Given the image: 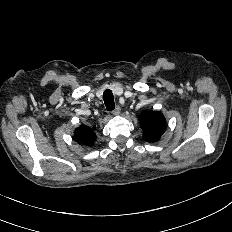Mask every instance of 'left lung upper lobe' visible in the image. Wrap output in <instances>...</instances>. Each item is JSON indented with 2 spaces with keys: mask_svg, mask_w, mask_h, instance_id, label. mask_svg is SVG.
Here are the masks:
<instances>
[{
  "mask_svg": "<svg viewBox=\"0 0 232 232\" xmlns=\"http://www.w3.org/2000/svg\"><path fill=\"white\" fill-rule=\"evenodd\" d=\"M140 122V127L144 131L143 139L147 142L158 141L166 128L164 115L157 111L144 112Z\"/></svg>",
  "mask_w": 232,
  "mask_h": 232,
  "instance_id": "1",
  "label": "left lung upper lobe"
}]
</instances>
